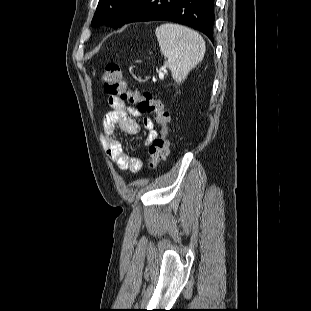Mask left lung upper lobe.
<instances>
[{
    "label": "left lung upper lobe",
    "mask_w": 311,
    "mask_h": 311,
    "mask_svg": "<svg viewBox=\"0 0 311 311\" xmlns=\"http://www.w3.org/2000/svg\"><path fill=\"white\" fill-rule=\"evenodd\" d=\"M134 0H99L91 25L106 24L117 28L120 18Z\"/></svg>",
    "instance_id": "5c2ea615"
}]
</instances>
